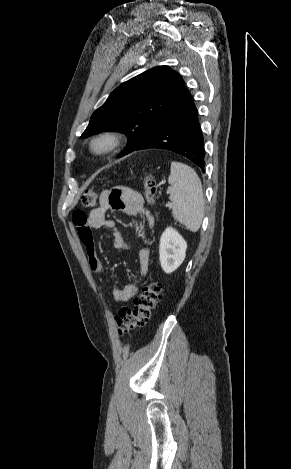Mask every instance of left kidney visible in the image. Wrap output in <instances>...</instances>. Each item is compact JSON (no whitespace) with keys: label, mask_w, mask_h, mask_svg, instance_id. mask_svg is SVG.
Masks as SVG:
<instances>
[{"label":"left kidney","mask_w":291,"mask_h":469,"mask_svg":"<svg viewBox=\"0 0 291 469\" xmlns=\"http://www.w3.org/2000/svg\"><path fill=\"white\" fill-rule=\"evenodd\" d=\"M187 243L172 227L166 228L160 238L159 259L163 271L174 272L184 261Z\"/></svg>","instance_id":"obj_1"}]
</instances>
